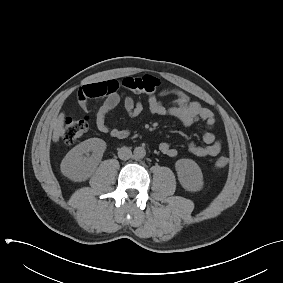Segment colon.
<instances>
[{"mask_svg":"<svg viewBox=\"0 0 283 283\" xmlns=\"http://www.w3.org/2000/svg\"><path fill=\"white\" fill-rule=\"evenodd\" d=\"M159 80L153 76L145 75L142 77H126L119 82V87L133 93H154ZM88 128L87 118H67L63 129V140L66 144H73L81 138ZM228 165V159L220 157L213 163L215 169H223Z\"/></svg>","mask_w":283,"mask_h":283,"instance_id":"5ec220e1","label":"colon"}]
</instances>
